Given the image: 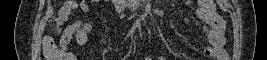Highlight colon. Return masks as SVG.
<instances>
[{"instance_id": "obj_1", "label": "colon", "mask_w": 267, "mask_h": 60, "mask_svg": "<svg viewBox=\"0 0 267 60\" xmlns=\"http://www.w3.org/2000/svg\"><path fill=\"white\" fill-rule=\"evenodd\" d=\"M43 54L47 60H59L63 56V52L55 44L50 36H45L43 40Z\"/></svg>"}]
</instances>
